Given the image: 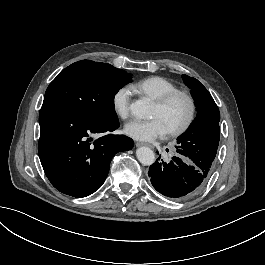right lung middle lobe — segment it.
Listing matches in <instances>:
<instances>
[{
	"instance_id": "obj_1",
	"label": "right lung middle lobe",
	"mask_w": 265,
	"mask_h": 265,
	"mask_svg": "<svg viewBox=\"0 0 265 265\" xmlns=\"http://www.w3.org/2000/svg\"><path fill=\"white\" fill-rule=\"evenodd\" d=\"M131 81V74L110 64L78 61L50 83L42 106L60 107L91 121L116 123L114 96Z\"/></svg>"
}]
</instances>
